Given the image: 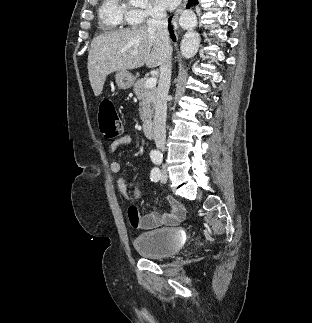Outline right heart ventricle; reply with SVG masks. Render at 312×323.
<instances>
[{"label": "right heart ventricle", "mask_w": 312, "mask_h": 323, "mask_svg": "<svg viewBox=\"0 0 312 323\" xmlns=\"http://www.w3.org/2000/svg\"><path fill=\"white\" fill-rule=\"evenodd\" d=\"M120 0H101L94 15L95 20H102V25L107 29H126L127 25H133V16L136 9H127L125 5H119Z\"/></svg>", "instance_id": "right-heart-ventricle-1"}]
</instances>
